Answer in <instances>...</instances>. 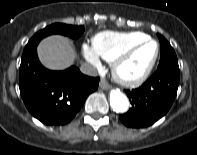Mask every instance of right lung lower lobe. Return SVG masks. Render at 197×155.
<instances>
[{
    "label": "right lung lower lobe",
    "instance_id": "1",
    "mask_svg": "<svg viewBox=\"0 0 197 155\" xmlns=\"http://www.w3.org/2000/svg\"><path fill=\"white\" fill-rule=\"evenodd\" d=\"M98 82L99 78L83 75L75 66L63 71L46 69L36 48L21 60V97L29 112L46 125L69 123L88 95L97 90Z\"/></svg>",
    "mask_w": 197,
    "mask_h": 155
}]
</instances>
